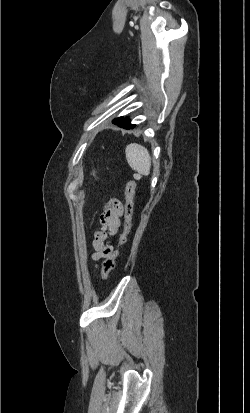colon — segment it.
Segmentation results:
<instances>
[{"instance_id":"colon-1","label":"colon","mask_w":250,"mask_h":413,"mask_svg":"<svg viewBox=\"0 0 250 413\" xmlns=\"http://www.w3.org/2000/svg\"><path fill=\"white\" fill-rule=\"evenodd\" d=\"M92 176L95 181H98V175L95 169L92 170ZM136 189V182L130 181L126 186L125 191V208H124V227L123 231L119 237L118 247L125 244L127 241V236L131 229L132 215H133V203H134V193ZM119 255V249H113L109 256L105 258L102 263V278L104 281L108 280L111 271L115 266V260Z\"/></svg>"}]
</instances>
